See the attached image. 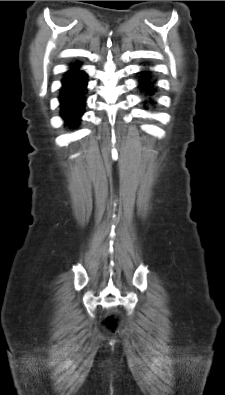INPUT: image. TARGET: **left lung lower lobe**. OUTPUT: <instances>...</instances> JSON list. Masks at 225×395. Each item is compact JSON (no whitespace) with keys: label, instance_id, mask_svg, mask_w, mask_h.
I'll use <instances>...</instances> for the list:
<instances>
[{"label":"left lung lower lobe","instance_id":"obj_1","mask_svg":"<svg viewBox=\"0 0 225 395\" xmlns=\"http://www.w3.org/2000/svg\"><path fill=\"white\" fill-rule=\"evenodd\" d=\"M139 86L138 88L144 93V97L146 100L144 103H151L155 104L156 102L152 99V97L155 95V83L156 80L152 78L151 72L148 70H143L139 73Z\"/></svg>","mask_w":225,"mask_h":395}]
</instances>
